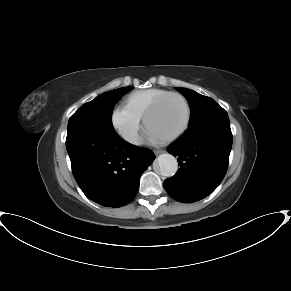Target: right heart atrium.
<instances>
[{
    "mask_svg": "<svg viewBox=\"0 0 291 291\" xmlns=\"http://www.w3.org/2000/svg\"><path fill=\"white\" fill-rule=\"evenodd\" d=\"M141 121L142 117L124 104L117 105L111 116L114 129L129 143L136 141Z\"/></svg>",
    "mask_w": 291,
    "mask_h": 291,
    "instance_id": "obj_1",
    "label": "right heart atrium"
}]
</instances>
